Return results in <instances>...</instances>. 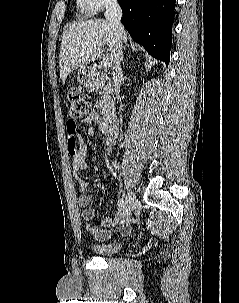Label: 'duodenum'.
Instances as JSON below:
<instances>
[{
    "mask_svg": "<svg viewBox=\"0 0 239 303\" xmlns=\"http://www.w3.org/2000/svg\"><path fill=\"white\" fill-rule=\"evenodd\" d=\"M102 129L112 138L119 132V120L114 113L107 114L101 122Z\"/></svg>",
    "mask_w": 239,
    "mask_h": 303,
    "instance_id": "obj_1",
    "label": "duodenum"
}]
</instances>
